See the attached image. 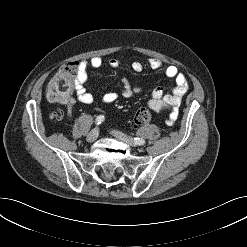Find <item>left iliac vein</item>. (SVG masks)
<instances>
[{
	"label": "left iliac vein",
	"mask_w": 247,
	"mask_h": 247,
	"mask_svg": "<svg viewBox=\"0 0 247 247\" xmlns=\"http://www.w3.org/2000/svg\"><path fill=\"white\" fill-rule=\"evenodd\" d=\"M116 138L128 143L129 145L131 146H136L137 144L134 142V140H132L131 138H129L128 136H126L125 134L119 132V131H116V130H113L111 132Z\"/></svg>",
	"instance_id": "4c4485c4"
}]
</instances>
